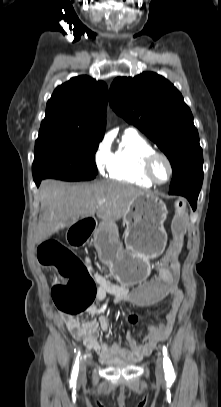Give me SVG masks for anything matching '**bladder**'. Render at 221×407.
Instances as JSON below:
<instances>
[{
	"label": "bladder",
	"mask_w": 221,
	"mask_h": 407,
	"mask_svg": "<svg viewBox=\"0 0 221 407\" xmlns=\"http://www.w3.org/2000/svg\"><path fill=\"white\" fill-rule=\"evenodd\" d=\"M102 361L110 366L128 367L136 364L137 361L120 360V359H102Z\"/></svg>",
	"instance_id": "1"
}]
</instances>
